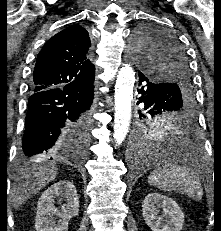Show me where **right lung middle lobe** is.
I'll return each mask as SVG.
<instances>
[{"instance_id": "1", "label": "right lung middle lobe", "mask_w": 221, "mask_h": 231, "mask_svg": "<svg viewBox=\"0 0 221 231\" xmlns=\"http://www.w3.org/2000/svg\"><path fill=\"white\" fill-rule=\"evenodd\" d=\"M90 111L88 113V116L85 118H82L77 124L73 126V131L77 135L79 139H85L86 143L89 141V129H90Z\"/></svg>"}]
</instances>
